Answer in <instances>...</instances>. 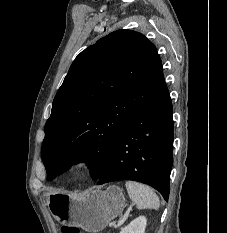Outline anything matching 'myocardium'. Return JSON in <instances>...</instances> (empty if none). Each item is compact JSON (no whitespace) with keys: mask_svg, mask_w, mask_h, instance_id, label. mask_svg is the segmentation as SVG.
Here are the masks:
<instances>
[{"mask_svg":"<svg viewBox=\"0 0 227 233\" xmlns=\"http://www.w3.org/2000/svg\"><path fill=\"white\" fill-rule=\"evenodd\" d=\"M93 166V159L88 155H77L70 163V173L76 178L87 175Z\"/></svg>","mask_w":227,"mask_h":233,"instance_id":"f54148a6","label":"myocardium"}]
</instances>
